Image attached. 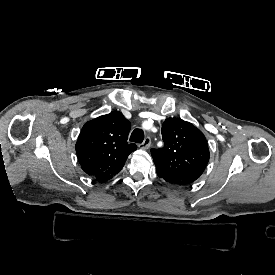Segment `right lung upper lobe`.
<instances>
[{"label":"right lung upper lobe","instance_id":"right-lung-upper-lobe-1","mask_svg":"<svg viewBox=\"0 0 275 275\" xmlns=\"http://www.w3.org/2000/svg\"><path fill=\"white\" fill-rule=\"evenodd\" d=\"M130 128V122L119 111L88 121L76 143L81 168L94 178L115 176L137 149L127 142Z\"/></svg>","mask_w":275,"mask_h":275}]
</instances>
